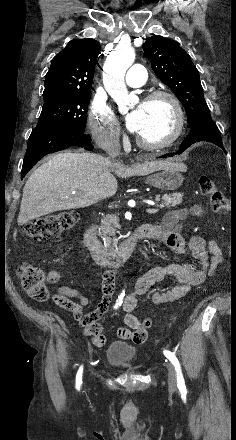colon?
<instances>
[{
  "mask_svg": "<svg viewBox=\"0 0 236 440\" xmlns=\"http://www.w3.org/2000/svg\"><path fill=\"white\" fill-rule=\"evenodd\" d=\"M198 183L201 193L209 199L214 211L223 212L226 210L227 214L233 213V208L228 204L227 198L210 177L201 176ZM77 221L78 213L76 211H61L36 218L24 224L21 233L34 241H40L59 235L73 227ZM18 277L23 289L34 300L44 302L48 299L45 274L39 267L32 264H22L18 269ZM151 325L152 320L150 318H146L142 322L147 335ZM145 339L133 340L143 342Z\"/></svg>",
  "mask_w": 236,
  "mask_h": 440,
  "instance_id": "obj_1",
  "label": "colon"
}]
</instances>
